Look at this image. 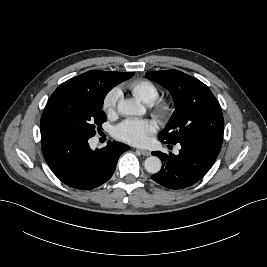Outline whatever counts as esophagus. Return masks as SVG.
<instances>
[{"instance_id":"obj_1","label":"esophagus","mask_w":267,"mask_h":267,"mask_svg":"<svg viewBox=\"0 0 267 267\" xmlns=\"http://www.w3.org/2000/svg\"><path fill=\"white\" fill-rule=\"evenodd\" d=\"M137 151H139L143 156H149L151 154L150 151L144 149H138Z\"/></svg>"}]
</instances>
